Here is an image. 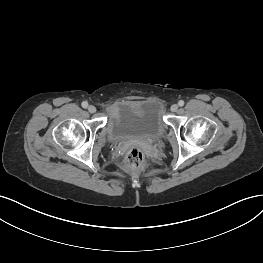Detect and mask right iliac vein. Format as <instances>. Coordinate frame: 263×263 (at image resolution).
Segmentation results:
<instances>
[{
	"label": "right iliac vein",
	"instance_id": "obj_1",
	"mask_svg": "<svg viewBox=\"0 0 263 263\" xmlns=\"http://www.w3.org/2000/svg\"><path fill=\"white\" fill-rule=\"evenodd\" d=\"M88 111H89L90 113H95V112H96L95 106H93V105L88 106Z\"/></svg>",
	"mask_w": 263,
	"mask_h": 263
}]
</instances>
